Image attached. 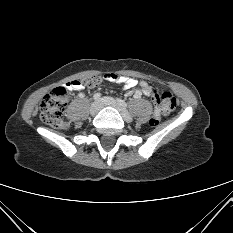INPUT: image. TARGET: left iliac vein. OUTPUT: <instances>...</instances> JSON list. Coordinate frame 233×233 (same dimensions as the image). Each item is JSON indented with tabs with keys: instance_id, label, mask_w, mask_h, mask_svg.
<instances>
[{
	"instance_id": "1",
	"label": "left iliac vein",
	"mask_w": 233,
	"mask_h": 233,
	"mask_svg": "<svg viewBox=\"0 0 233 233\" xmlns=\"http://www.w3.org/2000/svg\"><path fill=\"white\" fill-rule=\"evenodd\" d=\"M101 103L105 106L116 108L126 122L129 123L132 121V117L129 112L125 108H123L114 98L103 97Z\"/></svg>"
}]
</instances>
